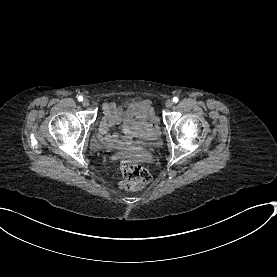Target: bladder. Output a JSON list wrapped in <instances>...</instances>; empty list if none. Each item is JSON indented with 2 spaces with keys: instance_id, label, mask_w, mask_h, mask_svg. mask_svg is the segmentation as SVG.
Here are the masks:
<instances>
[{
  "instance_id": "31cf9c89",
  "label": "bladder",
  "mask_w": 277,
  "mask_h": 277,
  "mask_svg": "<svg viewBox=\"0 0 277 277\" xmlns=\"http://www.w3.org/2000/svg\"><path fill=\"white\" fill-rule=\"evenodd\" d=\"M160 133H161L160 127H159V126H155L154 128H152V129H150V130H148V131L146 132V134H147V139H148V140L159 139Z\"/></svg>"
}]
</instances>
